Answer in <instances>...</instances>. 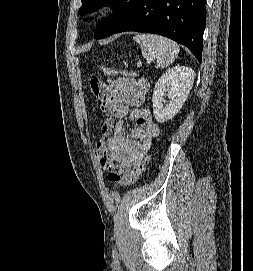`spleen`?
<instances>
[{"label": "spleen", "instance_id": "1", "mask_svg": "<svg viewBox=\"0 0 253 271\" xmlns=\"http://www.w3.org/2000/svg\"><path fill=\"white\" fill-rule=\"evenodd\" d=\"M134 40L140 45L146 59H154L158 68L170 66L179 54V46L174 41L154 34H137Z\"/></svg>", "mask_w": 253, "mask_h": 271}]
</instances>
